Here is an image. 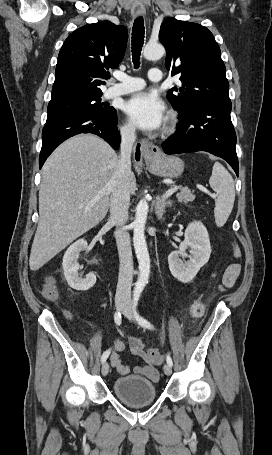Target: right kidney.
<instances>
[{"label":"right kidney","mask_w":272,"mask_h":455,"mask_svg":"<svg viewBox=\"0 0 272 455\" xmlns=\"http://www.w3.org/2000/svg\"><path fill=\"white\" fill-rule=\"evenodd\" d=\"M88 246L87 241L80 239L74 242L65 252L63 257V270L65 279L68 285L78 291H86L94 286L96 282V276L93 273H89L86 278L79 276L78 270L80 265L77 261L79 253L86 249Z\"/></svg>","instance_id":"ca27d5eb"}]
</instances>
